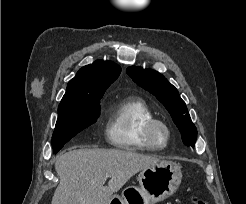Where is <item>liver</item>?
<instances>
[{
	"instance_id": "liver-1",
	"label": "liver",
	"mask_w": 246,
	"mask_h": 204,
	"mask_svg": "<svg viewBox=\"0 0 246 204\" xmlns=\"http://www.w3.org/2000/svg\"><path fill=\"white\" fill-rule=\"evenodd\" d=\"M158 162L156 157L130 150H70L55 163L60 183L51 204H106L133 175Z\"/></svg>"
}]
</instances>
